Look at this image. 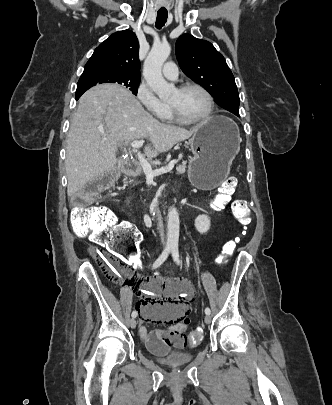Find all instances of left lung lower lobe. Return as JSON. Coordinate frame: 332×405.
I'll use <instances>...</instances> for the list:
<instances>
[{
	"mask_svg": "<svg viewBox=\"0 0 332 405\" xmlns=\"http://www.w3.org/2000/svg\"><path fill=\"white\" fill-rule=\"evenodd\" d=\"M231 112L238 116L239 115V107H234Z\"/></svg>",
	"mask_w": 332,
	"mask_h": 405,
	"instance_id": "1",
	"label": "left lung lower lobe"
}]
</instances>
